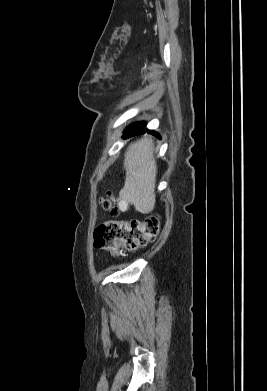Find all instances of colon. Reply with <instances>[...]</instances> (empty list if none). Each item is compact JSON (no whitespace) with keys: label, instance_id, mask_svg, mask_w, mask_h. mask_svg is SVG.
Returning <instances> with one entry per match:
<instances>
[{"label":"colon","instance_id":"colon-1","mask_svg":"<svg viewBox=\"0 0 267 391\" xmlns=\"http://www.w3.org/2000/svg\"><path fill=\"white\" fill-rule=\"evenodd\" d=\"M100 203L111 215L119 214V207L109 194L101 197ZM159 231V222L154 216L131 221H106L96 228L94 245L119 255L146 245L158 236Z\"/></svg>","mask_w":267,"mask_h":391}]
</instances>
